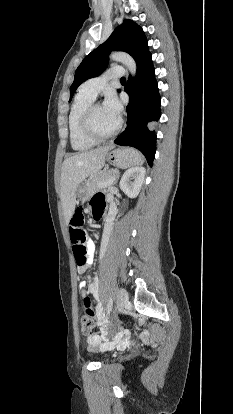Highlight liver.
Wrapping results in <instances>:
<instances>
[{
	"mask_svg": "<svg viewBox=\"0 0 233 414\" xmlns=\"http://www.w3.org/2000/svg\"><path fill=\"white\" fill-rule=\"evenodd\" d=\"M113 146L98 147L76 153L64 160L61 170V202L66 222H69L76 205V191L88 176L100 171L105 155Z\"/></svg>",
	"mask_w": 233,
	"mask_h": 414,
	"instance_id": "1",
	"label": "liver"
}]
</instances>
